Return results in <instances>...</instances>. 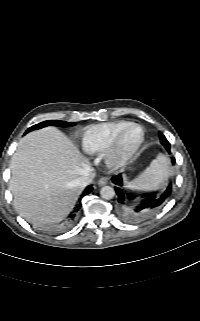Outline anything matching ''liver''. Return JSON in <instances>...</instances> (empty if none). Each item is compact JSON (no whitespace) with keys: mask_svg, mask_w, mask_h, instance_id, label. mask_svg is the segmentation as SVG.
<instances>
[{"mask_svg":"<svg viewBox=\"0 0 200 321\" xmlns=\"http://www.w3.org/2000/svg\"><path fill=\"white\" fill-rule=\"evenodd\" d=\"M10 167L14 207L38 226L59 222L69 214L83 190L75 180L91 169L88 159L54 127L24 136Z\"/></svg>","mask_w":200,"mask_h":321,"instance_id":"obj_1","label":"liver"}]
</instances>
